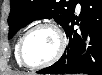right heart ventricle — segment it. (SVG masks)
I'll return each mask as SVG.
<instances>
[{"label":"right heart ventricle","mask_w":102,"mask_h":75,"mask_svg":"<svg viewBox=\"0 0 102 75\" xmlns=\"http://www.w3.org/2000/svg\"><path fill=\"white\" fill-rule=\"evenodd\" d=\"M23 34H24V32L21 33V34L17 37V39H16V41H15V48H14V50H15V59H16V61H17L18 64H21V60H20L19 54H18V48H19L20 39H21V37H22Z\"/></svg>","instance_id":"obj_1"}]
</instances>
